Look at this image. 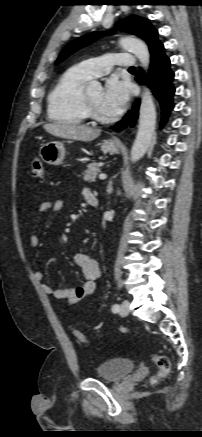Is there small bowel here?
<instances>
[{"label": "small bowel", "mask_w": 202, "mask_h": 437, "mask_svg": "<svg viewBox=\"0 0 202 437\" xmlns=\"http://www.w3.org/2000/svg\"><path fill=\"white\" fill-rule=\"evenodd\" d=\"M92 192L89 189L83 191V195L87 200ZM64 207L62 200L47 201L40 205L38 210V217H41L48 211L60 212ZM30 245L33 248L38 247L39 237L34 232L30 237ZM74 263L81 269L82 275L85 281L79 286H71L65 288H53L50 284L42 282L44 274L41 270H35L34 277L41 282L42 290L46 294H52L56 299L66 300L69 305H73L81 301L82 299L93 294L95 290V281L100 276V265L94 258L89 257L84 253H77L73 257Z\"/></svg>", "instance_id": "obj_1"}]
</instances>
